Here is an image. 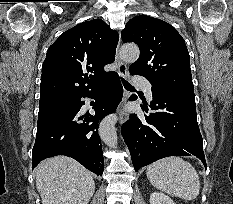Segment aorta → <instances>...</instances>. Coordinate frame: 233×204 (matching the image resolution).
Returning a JSON list of instances; mask_svg holds the SVG:
<instances>
[{"label": "aorta", "mask_w": 233, "mask_h": 204, "mask_svg": "<svg viewBox=\"0 0 233 204\" xmlns=\"http://www.w3.org/2000/svg\"><path fill=\"white\" fill-rule=\"evenodd\" d=\"M139 54V48L134 44L123 45L120 49L121 58L129 63L135 62L138 59ZM116 122L117 116L112 114L105 117L100 123V137L109 147H116L117 145Z\"/></svg>", "instance_id": "aorta-1"}]
</instances>
